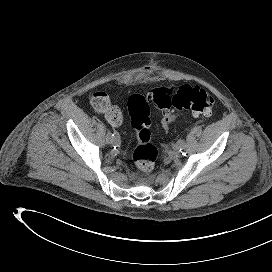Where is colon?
I'll use <instances>...</instances> for the list:
<instances>
[{
  "mask_svg": "<svg viewBox=\"0 0 272 272\" xmlns=\"http://www.w3.org/2000/svg\"><path fill=\"white\" fill-rule=\"evenodd\" d=\"M93 103L103 107L106 101L101 97L93 98ZM150 106L162 110H188L195 116L208 117L213 113L215 100L204 89L190 85H183L177 90L159 87L151 90L147 95H131L127 108L131 127L137 137L132 158L135 166L142 172L152 171L159 155L158 148L151 142Z\"/></svg>",
  "mask_w": 272,
  "mask_h": 272,
  "instance_id": "5ec220e1",
  "label": "colon"
}]
</instances>
